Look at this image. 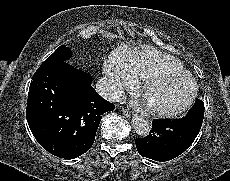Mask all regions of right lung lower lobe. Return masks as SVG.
<instances>
[{"label":"right lung lower lobe","instance_id":"98d812e1","mask_svg":"<svg viewBox=\"0 0 230 181\" xmlns=\"http://www.w3.org/2000/svg\"><path fill=\"white\" fill-rule=\"evenodd\" d=\"M114 108L91 86L89 74L60 61L33 75L26 118L46 151L70 159L90 149L103 113Z\"/></svg>","mask_w":230,"mask_h":181}]
</instances>
